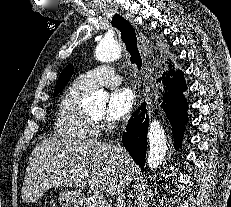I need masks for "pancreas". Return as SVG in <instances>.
Wrapping results in <instances>:
<instances>
[{"mask_svg": "<svg viewBox=\"0 0 231 207\" xmlns=\"http://www.w3.org/2000/svg\"><path fill=\"white\" fill-rule=\"evenodd\" d=\"M83 207H105V204L103 202L98 201L96 198H90L88 199Z\"/></svg>", "mask_w": 231, "mask_h": 207, "instance_id": "obj_1", "label": "pancreas"}]
</instances>
